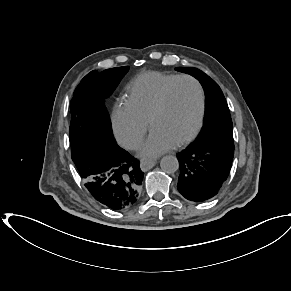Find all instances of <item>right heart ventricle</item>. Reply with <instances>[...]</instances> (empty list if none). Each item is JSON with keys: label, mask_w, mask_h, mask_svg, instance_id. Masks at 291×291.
Here are the masks:
<instances>
[{"label": "right heart ventricle", "mask_w": 291, "mask_h": 291, "mask_svg": "<svg viewBox=\"0 0 291 291\" xmlns=\"http://www.w3.org/2000/svg\"><path fill=\"white\" fill-rule=\"evenodd\" d=\"M176 77L160 72L139 75L128 89L126 103L139 118L148 122L162 90Z\"/></svg>", "instance_id": "obj_1"}]
</instances>
